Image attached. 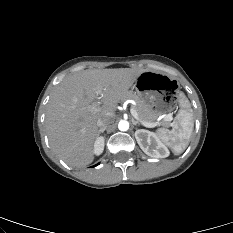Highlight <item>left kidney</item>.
<instances>
[{
	"label": "left kidney",
	"mask_w": 233,
	"mask_h": 233,
	"mask_svg": "<svg viewBox=\"0 0 233 233\" xmlns=\"http://www.w3.org/2000/svg\"><path fill=\"white\" fill-rule=\"evenodd\" d=\"M135 138L140 148L148 156L153 158H165L169 156L168 148L155 133L139 129L135 132Z\"/></svg>",
	"instance_id": "obj_1"
}]
</instances>
